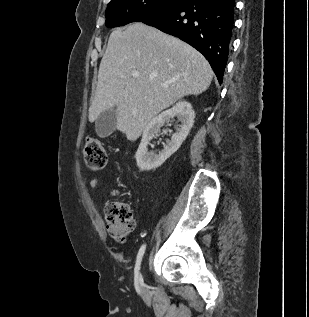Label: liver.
Returning <instances> with one entry per match:
<instances>
[{
	"label": "liver",
	"mask_w": 309,
	"mask_h": 317,
	"mask_svg": "<svg viewBox=\"0 0 309 317\" xmlns=\"http://www.w3.org/2000/svg\"><path fill=\"white\" fill-rule=\"evenodd\" d=\"M212 78L208 61L196 49L154 27L132 23L110 34L89 121L116 107L117 129L135 141L162 110L203 93Z\"/></svg>",
	"instance_id": "6515ba94"
}]
</instances>
